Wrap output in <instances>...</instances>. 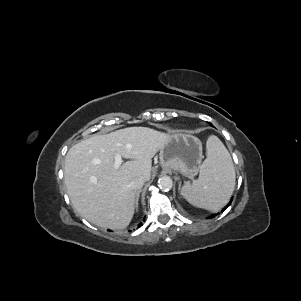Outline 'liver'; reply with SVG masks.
Wrapping results in <instances>:
<instances>
[{
	"mask_svg": "<svg viewBox=\"0 0 301 301\" xmlns=\"http://www.w3.org/2000/svg\"><path fill=\"white\" fill-rule=\"evenodd\" d=\"M169 135L147 127H128L94 135L67 152L64 181L75 210L100 227L126 228L134 215L135 190L131 181L151 178L152 158ZM129 161L116 168L115 155Z\"/></svg>",
	"mask_w": 301,
	"mask_h": 301,
	"instance_id": "liver-1",
	"label": "liver"
}]
</instances>
